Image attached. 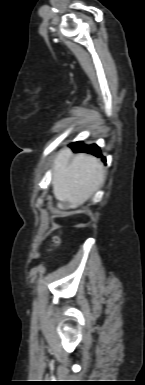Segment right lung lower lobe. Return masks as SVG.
Here are the masks:
<instances>
[{"label": "right lung lower lobe", "mask_w": 145, "mask_h": 385, "mask_svg": "<svg viewBox=\"0 0 145 385\" xmlns=\"http://www.w3.org/2000/svg\"><path fill=\"white\" fill-rule=\"evenodd\" d=\"M71 147L74 152H85L93 154L97 157H102V160L105 162V158L100 153V148L93 144V145H85L82 142H75L71 144Z\"/></svg>", "instance_id": "right-lung-lower-lobe-1"}]
</instances>
